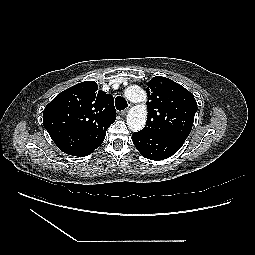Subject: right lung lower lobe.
Listing matches in <instances>:
<instances>
[{
	"label": "right lung lower lobe",
	"instance_id": "right-lung-lower-lobe-1",
	"mask_svg": "<svg viewBox=\"0 0 255 255\" xmlns=\"http://www.w3.org/2000/svg\"><path fill=\"white\" fill-rule=\"evenodd\" d=\"M106 134V133H105ZM105 134L94 140L89 144V146L86 148L85 152L80 156H87L90 153H92L102 142L104 141Z\"/></svg>",
	"mask_w": 255,
	"mask_h": 255
}]
</instances>
